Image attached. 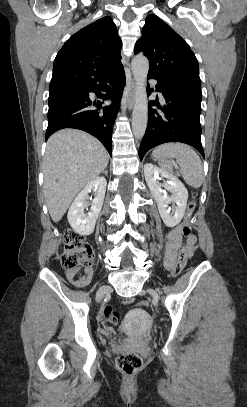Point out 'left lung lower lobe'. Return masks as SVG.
Masks as SVG:
<instances>
[{
	"label": "left lung lower lobe",
	"mask_w": 247,
	"mask_h": 407,
	"mask_svg": "<svg viewBox=\"0 0 247 407\" xmlns=\"http://www.w3.org/2000/svg\"><path fill=\"white\" fill-rule=\"evenodd\" d=\"M152 78L156 79L148 75V79ZM156 80L157 90L162 92L166 104L161 106L158 99L150 102L160 110L148 108V125L139 148L140 160L148 150L167 142L189 144L204 157L200 126L201 87Z\"/></svg>",
	"instance_id": "0a47b994"
}]
</instances>
